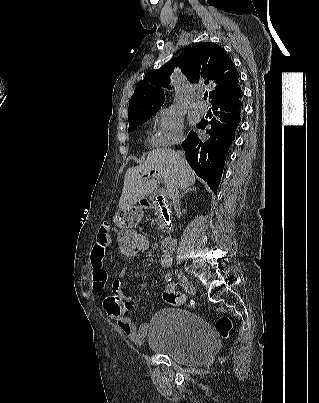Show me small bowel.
Masks as SVG:
<instances>
[{
	"label": "small bowel",
	"mask_w": 319,
	"mask_h": 403,
	"mask_svg": "<svg viewBox=\"0 0 319 403\" xmlns=\"http://www.w3.org/2000/svg\"><path fill=\"white\" fill-rule=\"evenodd\" d=\"M110 228L108 225H103L98 237L94 243L91 251V270L93 277V290L101 292L107 283V273L103 268V257L110 244L109 236ZM122 234V233H121ZM148 241V239H147ZM149 246V242H148ZM171 263L170 256L163 254L161 257V265L163 267L169 266ZM123 273L121 274V276ZM122 286V278H117L112 282L111 291L117 292ZM167 290H173L171 285H168ZM115 293H110L109 296L104 295L101 297V308L104 309L108 316L115 320L122 330V332L134 343L141 344L145 342L149 332V325L143 324L137 327L132 321V310L136 306V301L132 297L120 296L117 297Z\"/></svg>",
	"instance_id": "1"
}]
</instances>
